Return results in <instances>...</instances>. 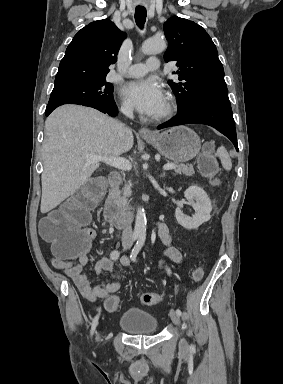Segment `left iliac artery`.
<instances>
[{"label":"left iliac artery","instance_id":"44dca946","mask_svg":"<svg viewBox=\"0 0 283 384\" xmlns=\"http://www.w3.org/2000/svg\"><path fill=\"white\" fill-rule=\"evenodd\" d=\"M144 242H145V237H139V239H138L136 245L134 246V248L132 249V252H131V255H130V258H131L132 261H136L137 255L140 252L141 248L143 247ZM166 270H167V273L170 275L171 274L170 269L167 268ZM176 313L179 316H181V314H182L180 309H177ZM190 348L194 349L193 345H191Z\"/></svg>","mask_w":283,"mask_h":384}]
</instances>
